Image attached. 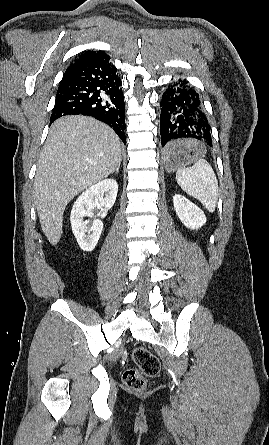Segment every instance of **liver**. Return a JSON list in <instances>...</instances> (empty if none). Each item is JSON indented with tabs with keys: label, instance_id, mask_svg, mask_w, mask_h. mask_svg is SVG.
Returning <instances> with one entry per match:
<instances>
[{
	"label": "liver",
	"instance_id": "1",
	"mask_svg": "<svg viewBox=\"0 0 269 445\" xmlns=\"http://www.w3.org/2000/svg\"><path fill=\"white\" fill-rule=\"evenodd\" d=\"M121 147L116 133L94 118L72 115L52 124L34 180L38 217L50 244L61 238L67 204L116 170Z\"/></svg>",
	"mask_w": 269,
	"mask_h": 445
}]
</instances>
